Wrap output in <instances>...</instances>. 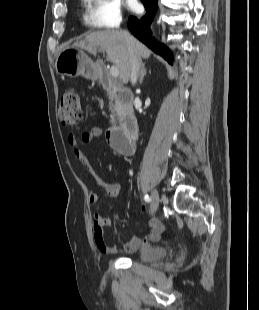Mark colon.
<instances>
[{
  "label": "colon",
  "instance_id": "1",
  "mask_svg": "<svg viewBox=\"0 0 259 310\" xmlns=\"http://www.w3.org/2000/svg\"><path fill=\"white\" fill-rule=\"evenodd\" d=\"M58 118L65 126H79L82 120V106L79 93L76 89L68 88L63 92L58 107Z\"/></svg>",
  "mask_w": 259,
  "mask_h": 310
}]
</instances>
